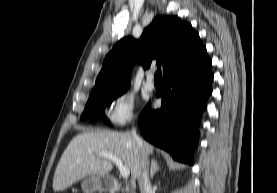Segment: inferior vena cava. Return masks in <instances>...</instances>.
<instances>
[{
  "label": "inferior vena cava",
  "instance_id": "1",
  "mask_svg": "<svg viewBox=\"0 0 277 193\" xmlns=\"http://www.w3.org/2000/svg\"><path fill=\"white\" fill-rule=\"evenodd\" d=\"M132 136L136 140V142L141 145V139L136 133V129H132ZM143 162H142V169L138 176V184L141 193H152L151 183L148 177V159L145 157L144 153H142Z\"/></svg>",
  "mask_w": 277,
  "mask_h": 193
}]
</instances>
